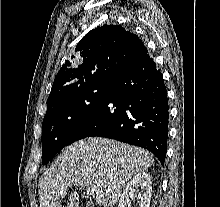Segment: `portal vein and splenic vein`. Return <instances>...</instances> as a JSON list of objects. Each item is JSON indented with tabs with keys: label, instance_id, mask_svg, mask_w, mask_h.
<instances>
[{
	"label": "portal vein and splenic vein",
	"instance_id": "obj_1",
	"mask_svg": "<svg viewBox=\"0 0 220 207\" xmlns=\"http://www.w3.org/2000/svg\"><path fill=\"white\" fill-rule=\"evenodd\" d=\"M81 189H82V190H85V186L82 185V186H81ZM94 192H95L94 188H88V189L86 190V194H87V195H90V196L93 195Z\"/></svg>",
	"mask_w": 220,
	"mask_h": 207
}]
</instances>
